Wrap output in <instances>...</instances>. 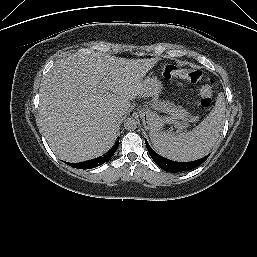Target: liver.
Masks as SVG:
<instances>
[{
    "instance_id": "obj_1",
    "label": "liver",
    "mask_w": 257,
    "mask_h": 257,
    "mask_svg": "<svg viewBox=\"0 0 257 257\" xmlns=\"http://www.w3.org/2000/svg\"><path fill=\"white\" fill-rule=\"evenodd\" d=\"M158 58L127 59L108 54H73L55 62L40 88L39 117L55 155L82 162L109 151L118 122L143 95V78ZM106 84L111 93H101ZM121 121V120H120Z\"/></svg>"
}]
</instances>
